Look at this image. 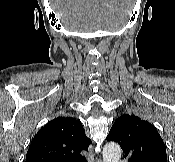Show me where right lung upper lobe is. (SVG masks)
<instances>
[{
    "label": "right lung upper lobe",
    "instance_id": "right-lung-upper-lobe-1",
    "mask_svg": "<svg viewBox=\"0 0 175 162\" xmlns=\"http://www.w3.org/2000/svg\"><path fill=\"white\" fill-rule=\"evenodd\" d=\"M91 140L82 123L72 117L48 122L34 136L26 162H87L80 153L88 150Z\"/></svg>",
    "mask_w": 175,
    "mask_h": 162
}]
</instances>
